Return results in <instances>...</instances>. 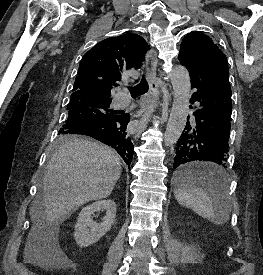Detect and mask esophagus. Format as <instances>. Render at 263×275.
Listing matches in <instances>:
<instances>
[{
    "label": "esophagus",
    "mask_w": 263,
    "mask_h": 275,
    "mask_svg": "<svg viewBox=\"0 0 263 275\" xmlns=\"http://www.w3.org/2000/svg\"><path fill=\"white\" fill-rule=\"evenodd\" d=\"M146 67L149 81V100L147 104V111L139 121L138 128L135 132V138H137L141 134V132L146 128L147 119L154 112L159 101L160 91L161 89H164V85L158 74V59L157 53L154 49H151L147 52Z\"/></svg>",
    "instance_id": "esophagus-1"
}]
</instances>
